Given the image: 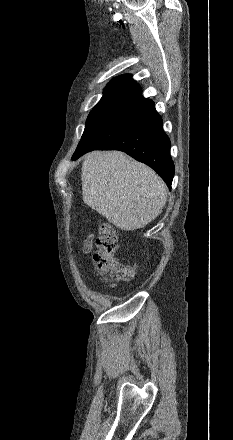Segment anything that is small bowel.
I'll list each match as a JSON object with an SVG mask.
<instances>
[{"mask_svg":"<svg viewBox=\"0 0 233 440\" xmlns=\"http://www.w3.org/2000/svg\"><path fill=\"white\" fill-rule=\"evenodd\" d=\"M94 237L89 235L83 242L82 250L84 253H89L93 249ZM111 287L116 286V283H111Z\"/></svg>","mask_w":233,"mask_h":440,"instance_id":"1","label":"small bowel"}]
</instances>
